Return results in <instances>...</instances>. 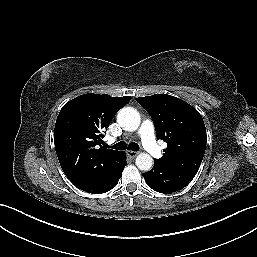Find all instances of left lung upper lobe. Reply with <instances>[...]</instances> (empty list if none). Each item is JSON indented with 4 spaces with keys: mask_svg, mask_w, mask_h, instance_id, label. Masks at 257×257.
<instances>
[{
    "mask_svg": "<svg viewBox=\"0 0 257 257\" xmlns=\"http://www.w3.org/2000/svg\"><path fill=\"white\" fill-rule=\"evenodd\" d=\"M151 115L158 139L167 142L156 161L197 173L206 149V128L199 112L187 102L164 94L136 98Z\"/></svg>",
    "mask_w": 257,
    "mask_h": 257,
    "instance_id": "1",
    "label": "left lung upper lobe"
}]
</instances>
